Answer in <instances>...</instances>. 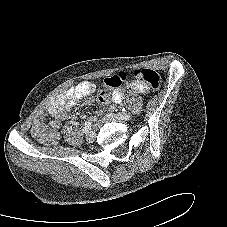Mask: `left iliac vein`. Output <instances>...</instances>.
<instances>
[{
	"mask_svg": "<svg viewBox=\"0 0 227 227\" xmlns=\"http://www.w3.org/2000/svg\"><path fill=\"white\" fill-rule=\"evenodd\" d=\"M130 118V114H122V113H118V114H107L106 115V120L108 121H119V122H122V121H126Z\"/></svg>",
	"mask_w": 227,
	"mask_h": 227,
	"instance_id": "1",
	"label": "left iliac vein"
}]
</instances>
